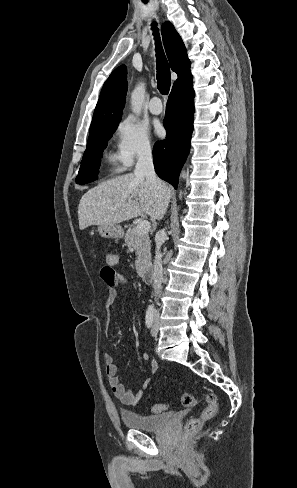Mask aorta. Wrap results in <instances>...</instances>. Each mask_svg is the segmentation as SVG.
Returning <instances> with one entry per match:
<instances>
[{
    "mask_svg": "<svg viewBox=\"0 0 297 488\" xmlns=\"http://www.w3.org/2000/svg\"><path fill=\"white\" fill-rule=\"evenodd\" d=\"M145 99V83L140 82L131 93V108L134 114L139 115Z\"/></svg>",
    "mask_w": 297,
    "mask_h": 488,
    "instance_id": "aorta-1",
    "label": "aorta"
}]
</instances>
